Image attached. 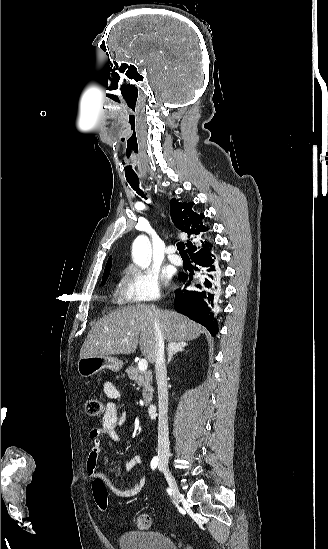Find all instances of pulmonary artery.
Returning <instances> with one entry per match:
<instances>
[{
  "label": "pulmonary artery",
  "instance_id": "1",
  "mask_svg": "<svg viewBox=\"0 0 328 549\" xmlns=\"http://www.w3.org/2000/svg\"><path fill=\"white\" fill-rule=\"evenodd\" d=\"M166 254H167V257H168L170 262H172L176 265H181V260H180L179 256L174 254L171 248H168L166 250Z\"/></svg>",
  "mask_w": 328,
  "mask_h": 549
}]
</instances>
